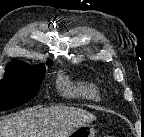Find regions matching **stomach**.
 <instances>
[{"instance_id": "0dacf381", "label": "stomach", "mask_w": 144, "mask_h": 137, "mask_svg": "<svg viewBox=\"0 0 144 137\" xmlns=\"http://www.w3.org/2000/svg\"><path fill=\"white\" fill-rule=\"evenodd\" d=\"M96 130L90 124H84L74 129L68 137H95Z\"/></svg>"}]
</instances>
